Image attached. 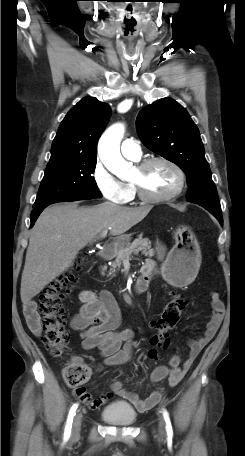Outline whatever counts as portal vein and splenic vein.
Listing matches in <instances>:
<instances>
[{"label": "portal vein and splenic vein", "instance_id": "18ae733b", "mask_svg": "<svg viewBox=\"0 0 245 456\" xmlns=\"http://www.w3.org/2000/svg\"><path fill=\"white\" fill-rule=\"evenodd\" d=\"M107 232H108L107 229L103 230L100 234V238H104L107 235Z\"/></svg>", "mask_w": 245, "mask_h": 456}]
</instances>
